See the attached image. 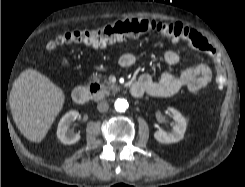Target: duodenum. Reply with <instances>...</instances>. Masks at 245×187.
Segmentation results:
<instances>
[{"label":"duodenum","instance_id":"1","mask_svg":"<svg viewBox=\"0 0 245 187\" xmlns=\"http://www.w3.org/2000/svg\"><path fill=\"white\" fill-rule=\"evenodd\" d=\"M129 88L134 97H141L144 93L143 87L138 83L131 84ZM100 92L101 89L98 85H93L91 87L78 86L72 93L73 101L76 104H85L92 98L98 96Z\"/></svg>","mask_w":245,"mask_h":187}]
</instances>
